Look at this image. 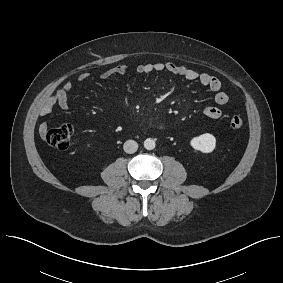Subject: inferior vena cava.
Returning a JSON list of instances; mask_svg holds the SVG:
<instances>
[{"mask_svg":"<svg viewBox=\"0 0 283 283\" xmlns=\"http://www.w3.org/2000/svg\"><path fill=\"white\" fill-rule=\"evenodd\" d=\"M123 149L126 153L132 154V153H135L137 151L138 144L134 140H127L123 145Z\"/></svg>","mask_w":283,"mask_h":283,"instance_id":"inferior-vena-cava-1","label":"inferior vena cava"}]
</instances>
